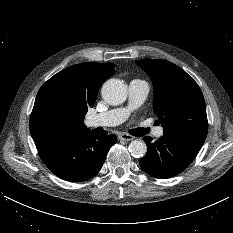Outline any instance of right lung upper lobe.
Returning a JSON list of instances; mask_svg holds the SVG:
<instances>
[{
  "label": "right lung upper lobe",
  "instance_id": "cb5924a9",
  "mask_svg": "<svg viewBox=\"0 0 233 233\" xmlns=\"http://www.w3.org/2000/svg\"><path fill=\"white\" fill-rule=\"evenodd\" d=\"M112 63H80L45 82L35 99L30 132L36 145L55 137L90 131L83 121L102 83L114 73Z\"/></svg>",
  "mask_w": 233,
  "mask_h": 233
}]
</instances>
